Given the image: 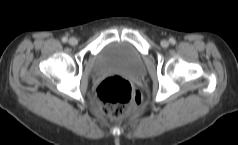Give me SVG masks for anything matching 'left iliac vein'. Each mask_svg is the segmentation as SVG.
I'll return each instance as SVG.
<instances>
[{
    "mask_svg": "<svg viewBox=\"0 0 238 145\" xmlns=\"http://www.w3.org/2000/svg\"><path fill=\"white\" fill-rule=\"evenodd\" d=\"M161 46L164 47V48H166V47L169 46V42H168L167 40H162V41H161Z\"/></svg>",
    "mask_w": 238,
    "mask_h": 145,
    "instance_id": "4c4485c4",
    "label": "left iliac vein"
}]
</instances>
